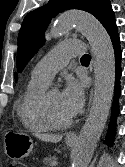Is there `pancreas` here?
<instances>
[{"instance_id": "obj_1", "label": "pancreas", "mask_w": 125, "mask_h": 167, "mask_svg": "<svg viewBox=\"0 0 125 167\" xmlns=\"http://www.w3.org/2000/svg\"><path fill=\"white\" fill-rule=\"evenodd\" d=\"M55 160H56L55 156H49V157L44 158L43 162L47 167H49L52 164V162Z\"/></svg>"}]
</instances>
